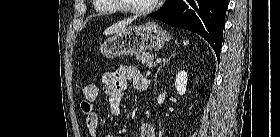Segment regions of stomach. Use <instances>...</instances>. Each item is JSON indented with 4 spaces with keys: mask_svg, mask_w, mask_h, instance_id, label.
Instances as JSON below:
<instances>
[{
    "mask_svg": "<svg viewBox=\"0 0 280 137\" xmlns=\"http://www.w3.org/2000/svg\"><path fill=\"white\" fill-rule=\"evenodd\" d=\"M170 39V35L157 23L148 22L124 28L104 41L100 51L107 58L137 55L147 50L158 51Z\"/></svg>",
    "mask_w": 280,
    "mask_h": 137,
    "instance_id": "0dacf381",
    "label": "stomach"
}]
</instances>
